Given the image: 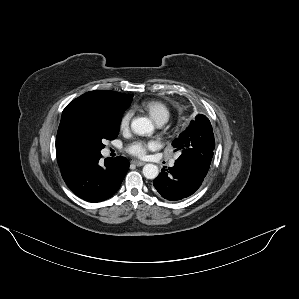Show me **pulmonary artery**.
I'll use <instances>...</instances> for the list:
<instances>
[{"label": "pulmonary artery", "instance_id": "1", "mask_svg": "<svg viewBox=\"0 0 299 299\" xmlns=\"http://www.w3.org/2000/svg\"><path fill=\"white\" fill-rule=\"evenodd\" d=\"M163 124H164V123L161 122V123H158L157 125H158V126H162ZM169 164H170V166H173V165H174V160L170 161Z\"/></svg>", "mask_w": 299, "mask_h": 299}]
</instances>
